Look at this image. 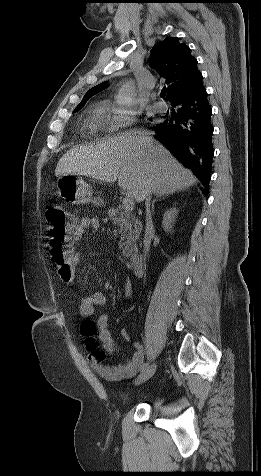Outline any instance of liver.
<instances>
[{"mask_svg": "<svg viewBox=\"0 0 261 476\" xmlns=\"http://www.w3.org/2000/svg\"><path fill=\"white\" fill-rule=\"evenodd\" d=\"M144 129H130L88 146L74 147L60 158L55 175L76 174L118 185L140 203L145 191L168 195L193 186L197 178Z\"/></svg>", "mask_w": 261, "mask_h": 476, "instance_id": "1", "label": "liver"}]
</instances>
